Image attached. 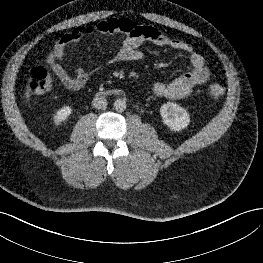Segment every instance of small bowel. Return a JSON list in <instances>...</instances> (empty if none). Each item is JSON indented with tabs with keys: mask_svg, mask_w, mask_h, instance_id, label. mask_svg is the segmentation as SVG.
Segmentation results:
<instances>
[{
	"mask_svg": "<svg viewBox=\"0 0 263 263\" xmlns=\"http://www.w3.org/2000/svg\"><path fill=\"white\" fill-rule=\"evenodd\" d=\"M96 34H111L122 37L116 61H137L143 57L141 46L150 43L159 47H167L187 54L191 70L172 81H158L153 85V92L168 99H182L188 96L195 86L205 83L210 75L204 58L189 43L165 35L151 26H138L131 20L110 19L96 25L79 26L71 32L58 36L53 48L47 56V63L61 83L70 90H79L88 82L93 71L73 65L74 75H70L59 62H68L66 47L70 44L86 40Z\"/></svg>",
	"mask_w": 263,
	"mask_h": 263,
	"instance_id": "obj_1",
	"label": "small bowel"
}]
</instances>
